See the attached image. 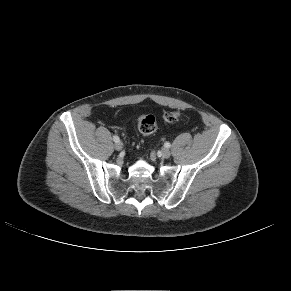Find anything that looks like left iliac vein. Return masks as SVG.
Instances as JSON below:
<instances>
[{
    "mask_svg": "<svg viewBox=\"0 0 291 291\" xmlns=\"http://www.w3.org/2000/svg\"><path fill=\"white\" fill-rule=\"evenodd\" d=\"M161 154H162L163 158H169L170 155H171V152H170V150L168 148H163L161 150Z\"/></svg>",
    "mask_w": 291,
    "mask_h": 291,
    "instance_id": "obj_1",
    "label": "left iliac vein"
}]
</instances>
